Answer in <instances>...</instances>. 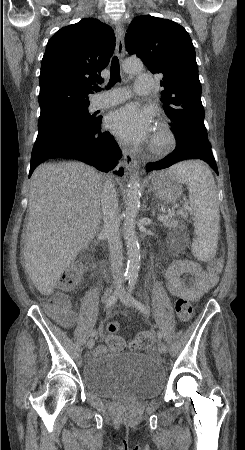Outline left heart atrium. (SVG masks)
<instances>
[{
	"label": "left heart atrium",
	"mask_w": 245,
	"mask_h": 450,
	"mask_svg": "<svg viewBox=\"0 0 245 450\" xmlns=\"http://www.w3.org/2000/svg\"><path fill=\"white\" fill-rule=\"evenodd\" d=\"M106 123L118 139L126 143L146 141L153 132L151 112L136 104H128L110 112Z\"/></svg>",
	"instance_id": "left-heart-atrium-1"
}]
</instances>
